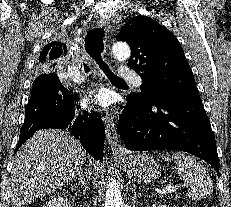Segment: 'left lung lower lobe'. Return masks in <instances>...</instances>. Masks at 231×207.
<instances>
[{
  "label": "left lung lower lobe",
  "instance_id": "left-lung-lower-lobe-1",
  "mask_svg": "<svg viewBox=\"0 0 231 207\" xmlns=\"http://www.w3.org/2000/svg\"><path fill=\"white\" fill-rule=\"evenodd\" d=\"M128 104L118 134L129 150H180L210 163L219 175L216 142L200 96Z\"/></svg>",
  "mask_w": 231,
  "mask_h": 207
}]
</instances>
